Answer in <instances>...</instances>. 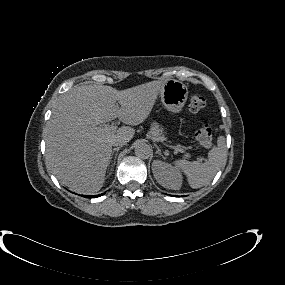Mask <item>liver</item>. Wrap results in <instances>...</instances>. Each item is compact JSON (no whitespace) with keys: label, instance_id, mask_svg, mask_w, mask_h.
Masks as SVG:
<instances>
[{"label":"liver","instance_id":"obj_1","mask_svg":"<svg viewBox=\"0 0 285 285\" xmlns=\"http://www.w3.org/2000/svg\"><path fill=\"white\" fill-rule=\"evenodd\" d=\"M165 82L151 81L121 91L111 86L82 85L62 95L47 123L45 139L47 164L61 184L81 194L99 191L113 140L122 136L130 141L135 130L124 126L99 131L95 127L116 118L127 125L142 123Z\"/></svg>","mask_w":285,"mask_h":285}]
</instances>
